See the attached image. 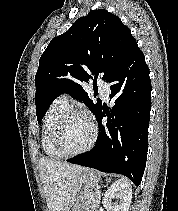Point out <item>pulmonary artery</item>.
Instances as JSON below:
<instances>
[{
  "mask_svg": "<svg viewBox=\"0 0 178 211\" xmlns=\"http://www.w3.org/2000/svg\"><path fill=\"white\" fill-rule=\"evenodd\" d=\"M97 85L100 90V94H101L102 98L107 100L109 91H110L109 84H107L105 81L99 79V80H97ZM60 99H61V101H63L66 104L69 103V98H68L67 94L61 95Z\"/></svg>",
  "mask_w": 178,
  "mask_h": 211,
  "instance_id": "pulmonary-artery-1",
  "label": "pulmonary artery"
}]
</instances>
